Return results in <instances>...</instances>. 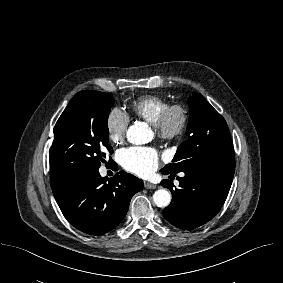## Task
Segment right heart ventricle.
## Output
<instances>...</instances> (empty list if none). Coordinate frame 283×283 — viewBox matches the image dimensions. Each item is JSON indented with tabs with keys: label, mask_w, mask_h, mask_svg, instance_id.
<instances>
[{
	"label": "right heart ventricle",
	"mask_w": 283,
	"mask_h": 283,
	"mask_svg": "<svg viewBox=\"0 0 283 283\" xmlns=\"http://www.w3.org/2000/svg\"><path fill=\"white\" fill-rule=\"evenodd\" d=\"M168 104V99L163 96L147 94L134 100L129 109L132 114L144 119L152 125H155L159 116Z\"/></svg>",
	"instance_id": "1"
}]
</instances>
